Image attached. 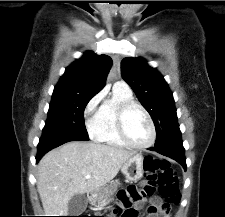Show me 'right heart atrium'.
<instances>
[{
  "label": "right heart atrium",
  "mask_w": 225,
  "mask_h": 217,
  "mask_svg": "<svg viewBox=\"0 0 225 217\" xmlns=\"http://www.w3.org/2000/svg\"><path fill=\"white\" fill-rule=\"evenodd\" d=\"M103 98V93L96 94L85 106L84 116L87 131L90 136L96 138L99 132V113L100 102Z\"/></svg>",
  "instance_id": "right-heart-atrium-1"
}]
</instances>
